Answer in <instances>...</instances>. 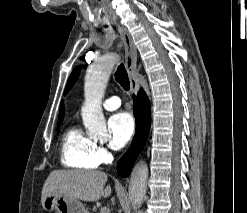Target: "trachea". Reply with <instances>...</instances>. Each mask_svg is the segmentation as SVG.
<instances>
[{
	"label": "trachea",
	"mask_w": 247,
	"mask_h": 213,
	"mask_svg": "<svg viewBox=\"0 0 247 213\" xmlns=\"http://www.w3.org/2000/svg\"><path fill=\"white\" fill-rule=\"evenodd\" d=\"M115 79L124 88V90H126V91L129 90L130 82H129L127 71H126L123 63H121L118 66V68L115 72Z\"/></svg>",
	"instance_id": "3493384b"
}]
</instances>
